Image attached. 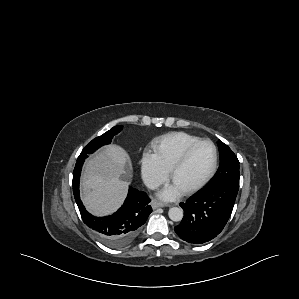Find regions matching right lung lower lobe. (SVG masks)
<instances>
[{"mask_svg": "<svg viewBox=\"0 0 299 299\" xmlns=\"http://www.w3.org/2000/svg\"><path fill=\"white\" fill-rule=\"evenodd\" d=\"M78 157L73 172V193L83 222L100 238L102 242L112 248H123L131 244L136 238L140 227L146 222L152 208L149 198L143 191L130 188L123 206L113 215L95 217L89 214L79 196V178L84 160Z\"/></svg>", "mask_w": 299, "mask_h": 299, "instance_id": "98d812e1", "label": "right lung lower lobe"}]
</instances>
